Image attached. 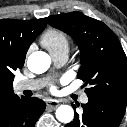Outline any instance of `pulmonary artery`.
<instances>
[{
    "label": "pulmonary artery",
    "mask_w": 127,
    "mask_h": 127,
    "mask_svg": "<svg viewBox=\"0 0 127 127\" xmlns=\"http://www.w3.org/2000/svg\"><path fill=\"white\" fill-rule=\"evenodd\" d=\"M67 57H68L67 52H62L57 55H54L53 60L56 65L60 66L67 61ZM46 83H47V80L44 78L33 79V80H22L16 84L15 89L17 91L38 90L42 88L43 86H45ZM80 102L83 104L88 102V97L85 93L80 96Z\"/></svg>",
    "instance_id": "obj_1"
}]
</instances>
